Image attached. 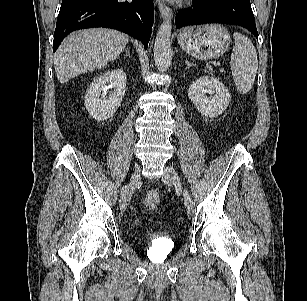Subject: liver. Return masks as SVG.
I'll use <instances>...</instances> for the list:
<instances>
[{
    "label": "liver",
    "mask_w": 307,
    "mask_h": 301,
    "mask_svg": "<svg viewBox=\"0 0 307 301\" xmlns=\"http://www.w3.org/2000/svg\"><path fill=\"white\" fill-rule=\"evenodd\" d=\"M128 35L112 29L93 28L69 35L54 60L57 79L66 83L75 76L105 67L126 47Z\"/></svg>",
    "instance_id": "6515ba94"
}]
</instances>
